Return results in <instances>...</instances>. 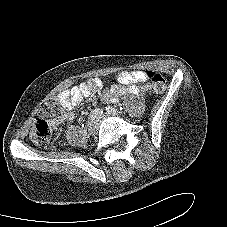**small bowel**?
<instances>
[{"mask_svg":"<svg viewBox=\"0 0 227 227\" xmlns=\"http://www.w3.org/2000/svg\"><path fill=\"white\" fill-rule=\"evenodd\" d=\"M146 72L140 70L123 71L118 74L117 82L108 89H103V83L98 78H90L69 89L61 91L58 95L61 110L53 115L50 124L56 128L62 123L74 118L73 108L76 107L84 97L95 91L103 89L102 100L115 103L119 97L125 94L138 95L149 91Z\"/></svg>","mask_w":227,"mask_h":227,"instance_id":"1","label":"small bowel"}]
</instances>
